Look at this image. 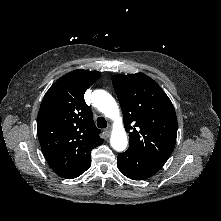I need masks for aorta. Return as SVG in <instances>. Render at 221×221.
Masks as SVG:
<instances>
[{"instance_id":"obj_1","label":"aorta","mask_w":221,"mask_h":221,"mask_svg":"<svg viewBox=\"0 0 221 221\" xmlns=\"http://www.w3.org/2000/svg\"><path fill=\"white\" fill-rule=\"evenodd\" d=\"M93 102L94 106L106 117L115 120L110 143L114 150L119 152L124 151L128 140L115 99L104 90H95L93 92Z\"/></svg>"}]
</instances>
